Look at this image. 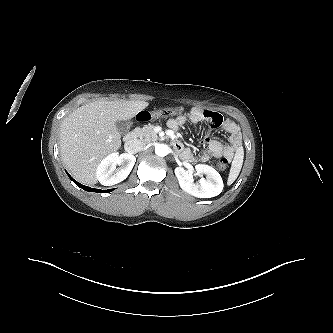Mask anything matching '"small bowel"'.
<instances>
[{
    "mask_svg": "<svg viewBox=\"0 0 333 333\" xmlns=\"http://www.w3.org/2000/svg\"><path fill=\"white\" fill-rule=\"evenodd\" d=\"M187 121L194 124L200 122L207 124L208 134L202 142L204 148L198 154V159L201 162L220 157H226L231 160L241 147L242 136L238 125L231 119L225 118L215 111L195 107L186 113L169 119L167 124L172 130H177ZM217 128L222 129L229 135L227 144L210 137L209 133ZM176 142L175 147L181 152L183 158L191 160L193 158V152L189 148H184L179 141Z\"/></svg>",
    "mask_w": 333,
    "mask_h": 333,
    "instance_id": "1",
    "label": "small bowel"
}]
</instances>
